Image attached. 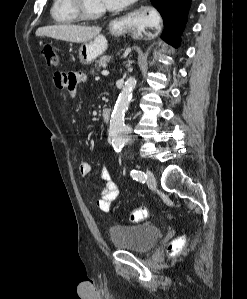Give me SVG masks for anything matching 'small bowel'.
<instances>
[{
	"mask_svg": "<svg viewBox=\"0 0 247 299\" xmlns=\"http://www.w3.org/2000/svg\"><path fill=\"white\" fill-rule=\"evenodd\" d=\"M85 78V75L79 72H71L67 74L59 73L54 76L56 86L64 91V101L66 104L72 102L76 98L78 87ZM90 172V164L87 161H81L78 165L79 175L85 177ZM99 175L104 188L100 198L96 201V205L101 211L108 212L119 195V189L105 168L100 170Z\"/></svg>",
	"mask_w": 247,
	"mask_h": 299,
	"instance_id": "obj_1",
	"label": "small bowel"
}]
</instances>
